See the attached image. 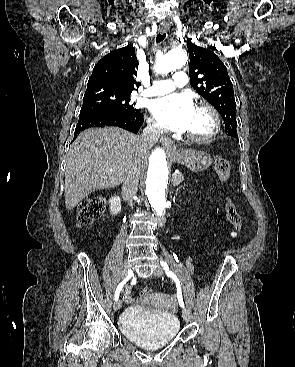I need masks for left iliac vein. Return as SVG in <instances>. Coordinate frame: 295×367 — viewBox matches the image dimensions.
<instances>
[{"instance_id": "obj_1", "label": "left iliac vein", "mask_w": 295, "mask_h": 367, "mask_svg": "<svg viewBox=\"0 0 295 367\" xmlns=\"http://www.w3.org/2000/svg\"><path fill=\"white\" fill-rule=\"evenodd\" d=\"M153 274L157 277H160L163 275L162 267L157 265L153 271ZM182 317L186 322L190 321V313L186 308H183L182 310Z\"/></svg>"}]
</instances>
